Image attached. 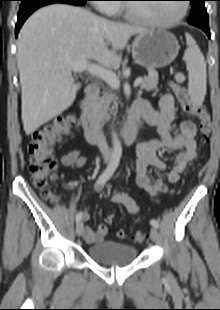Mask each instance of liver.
I'll return each mask as SVG.
<instances>
[{
  "mask_svg": "<svg viewBox=\"0 0 220 310\" xmlns=\"http://www.w3.org/2000/svg\"><path fill=\"white\" fill-rule=\"evenodd\" d=\"M146 31L65 4L37 10L21 29L17 51L25 133L32 134L72 105L81 87L72 76L73 62L93 59L118 68L117 52L131 36Z\"/></svg>",
  "mask_w": 220,
  "mask_h": 310,
  "instance_id": "liver-1",
  "label": "liver"
}]
</instances>
